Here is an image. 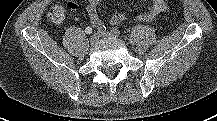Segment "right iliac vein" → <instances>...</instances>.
<instances>
[{
  "label": "right iliac vein",
  "instance_id": "1",
  "mask_svg": "<svg viewBox=\"0 0 217 121\" xmlns=\"http://www.w3.org/2000/svg\"><path fill=\"white\" fill-rule=\"evenodd\" d=\"M99 39V34H94L90 37V43L95 44Z\"/></svg>",
  "mask_w": 217,
  "mask_h": 121
}]
</instances>
